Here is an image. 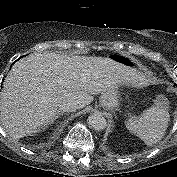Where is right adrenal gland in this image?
<instances>
[{
  "label": "right adrenal gland",
  "instance_id": "right-adrenal-gland-1",
  "mask_svg": "<svg viewBox=\"0 0 177 177\" xmlns=\"http://www.w3.org/2000/svg\"><path fill=\"white\" fill-rule=\"evenodd\" d=\"M60 115H62V113H59V112H58L57 115L55 116L54 121H55ZM54 121H52L51 124H52Z\"/></svg>",
  "mask_w": 177,
  "mask_h": 177
}]
</instances>
